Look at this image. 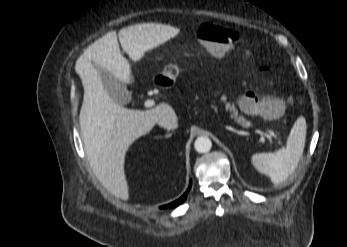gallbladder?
Instances as JSON below:
<instances>
[{
	"label": "gallbladder",
	"mask_w": 347,
	"mask_h": 247,
	"mask_svg": "<svg viewBox=\"0 0 347 247\" xmlns=\"http://www.w3.org/2000/svg\"><path fill=\"white\" fill-rule=\"evenodd\" d=\"M99 72L100 78L103 83L104 90L107 94L119 104H127L131 98V93L127 90L125 85L115 78L112 74L104 69L95 66Z\"/></svg>",
	"instance_id": "1"
}]
</instances>
